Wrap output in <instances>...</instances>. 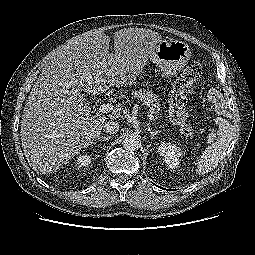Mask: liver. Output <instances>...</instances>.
Returning <instances> with one entry per match:
<instances>
[{"label": "liver", "instance_id": "1", "mask_svg": "<svg viewBox=\"0 0 255 255\" xmlns=\"http://www.w3.org/2000/svg\"><path fill=\"white\" fill-rule=\"evenodd\" d=\"M114 50L104 32L72 38L45 65L26 102L21 120L24 155L41 175L57 170L97 138L108 118L93 114L82 91L99 94L131 86L155 54L162 37L146 28L114 33ZM118 110V107L116 108Z\"/></svg>", "mask_w": 255, "mask_h": 255}]
</instances>
